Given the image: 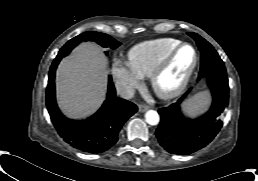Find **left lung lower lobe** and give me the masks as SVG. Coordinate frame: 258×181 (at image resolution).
I'll return each instance as SVG.
<instances>
[{
    "label": "left lung lower lobe",
    "mask_w": 258,
    "mask_h": 181,
    "mask_svg": "<svg viewBox=\"0 0 258 181\" xmlns=\"http://www.w3.org/2000/svg\"><path fill=\"white\" fill-rule=\"evenodd\" d=\"M205 76L213 102L204 116L195 120L184 118L180 110L184 97L177 103L158 111L161 121L156 136L160 145L169 153L177 155L194 153L208 145L222 127L220 118L229 103L227 74L210 73Z\"/></svg>",
    "instance_id": "0a47b994"
}]
</instances>
